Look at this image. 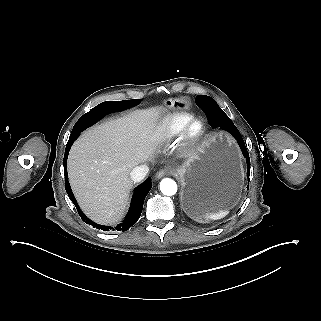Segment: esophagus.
<instances>
[{
    "instance_id": "34e87169",
    "label": "esophagus",
    "mask_w": 321,
    "mask_h": 321,
    "mask_svg": "<svg viewBox=\"0 0 321 321\" xmlns=\"http://www.w3.org/2000/svg\"><path fill=\"white\" fill-rule=\"evenodd\" d=\"M171 173H172L171 168L161 169V170H159V171L155 174V177H156L157 179H160V178L163 177L165 174H171Z\"/></svg>"
}]
</instances>
